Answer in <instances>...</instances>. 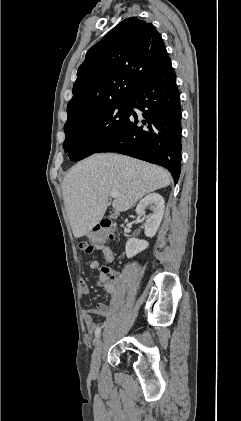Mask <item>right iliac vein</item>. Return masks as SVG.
Instances as JSON below:
<instances>
[{"mask_svg": "<svg viewBox=\"0 0 241 421\" xmlns=\"http://www.w3.org/2000/svg\"><path fill=\"white\" fill-rule=\"evenodd\" d=\"M102 350H103V341L99 340L92 355L91 372L93 374L97 373L99 370Z\"/></svg>", "mask_w": 241, "mask_h": 421, "instance_id": "right-iliac-vein-1", "label": "right iliac vein"}]
</instances>
